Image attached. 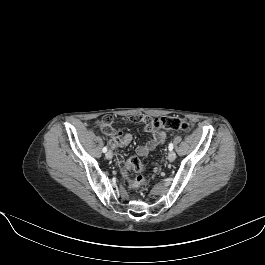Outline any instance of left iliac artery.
Instances as JSON below:
<instances>
[{
    "mask_svg": "<svg viewBox=\"0 0 265 265\" xmlns=\"http://www.w3.org/2000/svg\"><path fill=\"white\" fill-rule=\"evenodd\" d=\"M168 148H169L170 151L173 150V143L172 142L169 144V147Z\"/></svg>",
    "mask_w": 265,
    "mask_h": 265,
    "instance_id": "1",
    "label": "left iliac artery"
}]
</instances>
